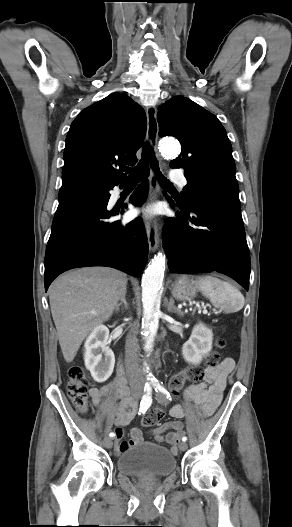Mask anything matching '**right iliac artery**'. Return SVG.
Wrapping results in <instances>:
<instances>
[{
	"label": "right iliac artery",
	"mask_w": 292,
	"mask_h": 527,
	"mask_svg": "<svg viewBox=\"0 0 292 527\" xmlns=\"http://www.w3.org/2000/svg\"><path fill=\"white\" fill-rule=\"evenodd\" d=\"M145 393L142 397V400L140 402V408H139V414L141 413H145L146 410L150 407L151 403H152V387L150 384H146L145 385ZM110 437H114L115 436V433L114 432H111L109 434Z\"/></svg>",
	"instance_id": "right-iliac-artery-1"
}]
</instances>
